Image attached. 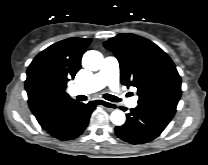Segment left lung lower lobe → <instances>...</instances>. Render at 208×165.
I'll use <instances>...</instances> for the list:
<instances>
[{"label":"left lung lower lobe","mask_w":208,"mask_h":165,"mask_svg":"<svg viewBox=\"0 0 208 165\" xmlns=\"http://www.w3.org/2000/svg\"><path fill=\"white\" fill-rule=\"evenodd\" d=\"M175 112L173 104L138 105L127 114L126 123L115 128L116 135L131 144L150 142L162 133Z\"/></svg>","instance_id":"obj_1"}]
</instances>
